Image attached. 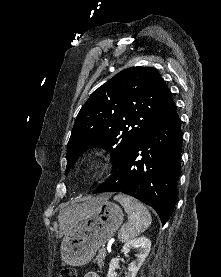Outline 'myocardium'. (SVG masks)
<instances>
[{"label":"myocardium","mask_w":221,"mask_h":277,"mask_svg":"<svg viewBox=\"0 0 221 277\" xmlns=\"http://www.w3.org/2000/svg\"><path fill=\"white\" fill-rule=\"evenodd\" d=\"M104 164V157L102 154L98 153L92 156L84 163V171L86 173H92L99 169Z\"/></svg>","instance_id":"f54148a6"}]
</instances>
